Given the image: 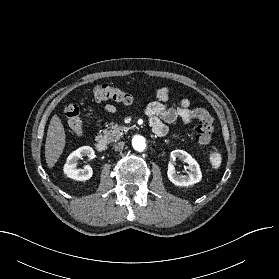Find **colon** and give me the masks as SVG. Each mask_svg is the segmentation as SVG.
Segmentation results:
<instances>
[{
    "label": "colon",
    "mask_w": 279,
    "mask_h": 279,
    "mask_svg": "<svg viewBox=\"0 0 279 279\" xmlns=\"http://www.w3.org/2000/svg\"><path fill=\"white\" fill-rule=\"evenodd\" d=\"M92 96L93 99L97 102L107 100L123 104H132L134 102V98L131 94L125 92L120 88L112 87L107 84L96 86L93 89ZM64 113L68 127L75 134H81L83 129V120L79 107L75 104H70L66 106ZM191 113L192 117L198 120V125L196 128L197 141L202 146H208L212 141L214 133L212 117L205 109L198 105L192 109Z\"/></svg>",
    "instance_id": "5ec220e1"
}]
</instances>
